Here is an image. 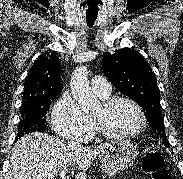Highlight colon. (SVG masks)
I'll list each match as a JSON object with an SVG mask.
<instances>
[{
    "instance_id": "5ec220e1",
    "label": "colon",
    "mask_w": 183,
    "mask_h": 179,
    "mask_svg": "<svg viewBox=\"0 0 183 179\" xmlns=\"http://www.w3.org/2000/svg\"><path fill=\"white\" fill-rule=\"evenodd\" d=\"M143 168L152 179H172L170 173L165 167L164 158L157 149L149 148L146 150L143 160Z\"/></svg>"
}]
</instances>
